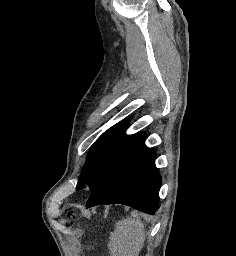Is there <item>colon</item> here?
Segmentation results:
<instances>
[{"label":"colon","mask_w":236,"mask_h":256,"mask_svg":"<svg viewBox=\"0 0 236 256\" xmlns=\"http://www.w3.org/2000/svg\"><path fill=\"white\" fill-rule=\"evenodd\" d=\"M67 217L69 218V220H72V214L70 212L67 214Z\"/></svg>","instance_id":"1"}]
</instances>
